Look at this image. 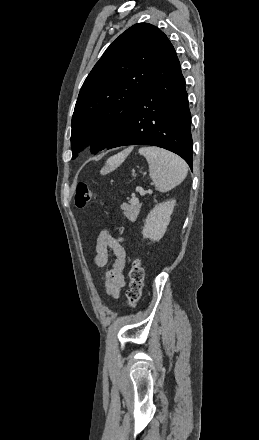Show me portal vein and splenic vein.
<instances>
[{
    "mask_svg": "<svg viewBox=\"0 0 259 440\" xmlns=\"http://www.w3.org/2000/svg\"><path fill=\"white\" fill-rule=\"evenodd\" d=\"M136 191L139 192L140 195H145V191H144V189L141 188V187H137V188H136ZM137 201H138V199L135 198V197H133V202H137Z\"/></svg>",
    "mask_w": 259,
    "mask_h": 440,
    "instance_id": "obj_1",
    "label": "portal vein and splenic vein"
}]
</instances>
